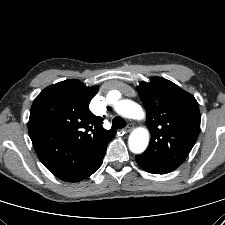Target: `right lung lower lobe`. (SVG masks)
<instances>
[{
	"mask_svg": "<svg viewBox=\"0 0 225 225\" xmlns=\"http://www.w3.org/2000/svg\"><path fill=\"white\" fill-rule=\"evenodd\" d=\"M106 148H107V146L105 147V149H103V151L101 152V155L99 156V161H98V163L96 164V166L94 167V169H93V171H92V173L90 174V175H92L100 166H101V164H102V161H103V157H104V155H105V152H106ZM89 175V176H90ZM88 176V177H89ZM87 178V177H86ZM85 179V178H84Z\"/></svg>",
	"mask_w": 225,
	"mask_h": 225,
	"instance_id": "98d812e1",
	"label": "right lung lower lobe"
}]
</instances>
